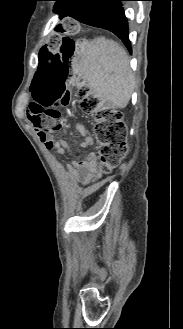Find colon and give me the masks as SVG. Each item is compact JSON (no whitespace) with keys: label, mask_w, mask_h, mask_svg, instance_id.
<instances>
[{"label":"colon","mask_w":183,"mask_h":329,"mask_svg":"<svg viewBox=\"0 0 183 329\" xmlns=\"http://www.w3.org/2000/svg\"><path fill=\"white\" fill-rule=\"evenodd\" d=\"M61 25H55L54 31L48 32L50 38L37 55V73L31 82L33 94L30 98L29 112L44 118L46 128L42 132L58 131L50 121L58 114V109L71 98V92L66 89L65 79L71 67L70 59L80 44H95V37H74L78 25L74 19H61ZM76 98L81 102L85 113L94 115V133L99 144V171L108 173L118 166L127 156V127L120 111L108 108L97 110L98 99L88 95L86 88L77 90Z\"/></svg>","instance_id":"colon-1"}]
</instances>
